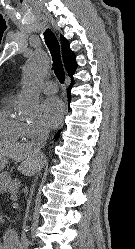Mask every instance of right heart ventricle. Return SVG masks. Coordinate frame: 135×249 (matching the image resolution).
Masks as SVG:
<instances>
[{
	"instance_id": "right-heart-ventricle-1",
	"label": "right heart ventricle",
	"mask_w": 135,
	"mask_h": 249,
	"mask_svg": "<svg viewBox=\"0 0 135 249\" xmlns=\"http://www.w3.org/2000/svg\"><path fill=\"white\" fill-rule=\"evenodd\" d=\"M14 101L6 98L0 106V140L16 142L25 137V124L15 115Z\"/></svg>"
}]
</instances>
